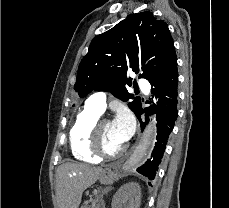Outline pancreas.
I'll use <instances>...</instances> for the list:
<instances>
[{
  "label": "pancreas",
  "mask_w": 229,
  "mask_h": 208,
  "mask_svg": "<svg viewBox=\"0 0 229 208\" xmlns=\"http://www.w3.org/2000/svg\"><path fill=\"white\" fill-rule=\"evenodd\" d=\"M81 208H105V206L103 200L95 198V200H88V202H85V206H81Z\"/></svg>",
  "instance_id": "cf45deb5"
}]
</instances>
